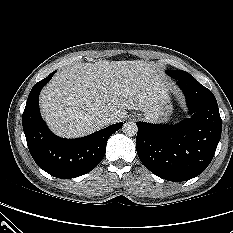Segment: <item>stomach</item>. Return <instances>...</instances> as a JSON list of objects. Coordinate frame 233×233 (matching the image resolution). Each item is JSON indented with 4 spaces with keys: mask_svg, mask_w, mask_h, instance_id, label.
I'll list each match as a JSON object with an SVG mask.
<instances>
[{
    "mask_svg": "<svg viewBox=\"0 0 233 233\" xmlns=\"http://www.w3.org/2000/svg\"><path fill=\"white\" fill-rule=\"evenodd\" d=\"M172 110H173L172 103L169 95H167V97L161 100L159 104V110L157 112L158 115L157 120L160 122H167L170 118V115L172 114Z\"/></svg>",
    "mask_w": 233,
    "mask_h": 233,
    "instance_id": "1",
    "label": "stomach"
}]
</instances>
